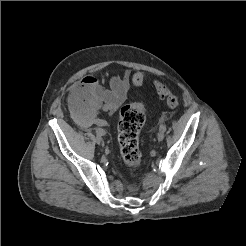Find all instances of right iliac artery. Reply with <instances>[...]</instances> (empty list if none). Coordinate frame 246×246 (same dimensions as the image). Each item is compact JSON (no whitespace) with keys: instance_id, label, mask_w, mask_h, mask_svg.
<instances>
[{"instance_id":"obj_1","label":"right iliac artery","mask_w":246,"mask_h":246,"mask_svg":"<svg viewBox=\"0 0 246 246\" xmlns=\"http://www.w3.org/2000/svg\"><path fill=\"white\" fill-rule=\"evenodd\" d=\"M96 134L100 135V136H103L105 134V131L103 129H101V128H97L96 129Z\"/></svg>"}]
</instances>
